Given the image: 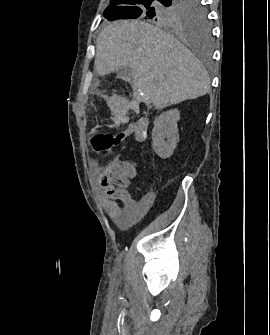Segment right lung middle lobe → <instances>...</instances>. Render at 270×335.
Returning a JSON list of instances; mask_svg holds the SVG:
<instances>
[{"mask_svg":"<svg viewBox=\"0 0 270 335\" xmlns=\"http://www.w3.org/2000/svg\"><path fill=\"white\" fill-rule=\"evenodd\" d=\"M103 15L109 21L140 17L201 44L210 40L208 11L200 0H110Z\"/></svg>","mask_w":270,"mask_h":335,"instance_id":"right-lung-middle-lobe-1","label":"right lung middle lobe"}]
</instances>
